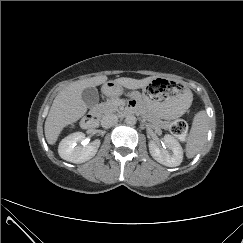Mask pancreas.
Instances as JSON below:
<instances>
[{
    "label": "pancreas",
    "instance_id": "pancreas-1",
    "mask_svg": "<svg viewBox=\"0 0 243 243\" xmlns=\"http://www.w3.org/2000/svg\"><path fill=\"white\" fill-rule=\"evenodd\" d=\"M118 109V102L116 99L107 100L105 103H101L97 108L96 111L99 115L103 116L107 113L117 112ZM143 116L149 121L152 122L162 128H168L169 123L166 121H162L159 118L155 117L151 113L146 111L143 112Z\"/></svg>",
    "mask_w": 243,
    "mask_h": 243
}]
</instances>
